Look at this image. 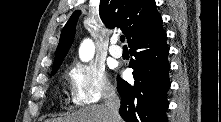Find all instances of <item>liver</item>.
I'll use <instances>...</instances> for the list:
<instances>
[{
	"instance_id": "1",
	"label": "liver",
	"mask_w": 221,
	"mask_h": 122,
	"mask_svg": "<svg viewBox=\"0 0 221 122\" xmlns=\"http://www.w3.org/2000/svg\"><path fill=\"white\" fill-rule=\"evenodd\" d=\"M53 122H110L106 106L91 105L73 112L65 118L53 119ZM116 122H122L120 116Z\"/></svg>"
}]
</instances>
